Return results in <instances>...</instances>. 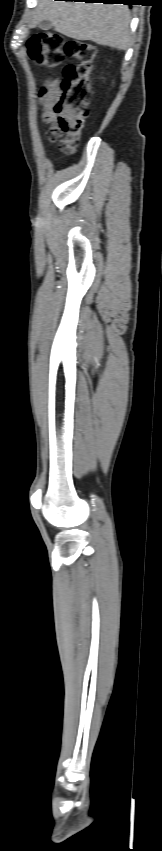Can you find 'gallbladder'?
<instances>
[{
	"label": "gallbladder",
	"mask_w": 162,
	"mask_h": 851,
	"mask_svg": "<svg viewBox=\"0 0 162 851\" xmlns=\"http://www.w3.org/2000/svg\"><path fill=\"white\" fill-rule=\"evenodd\" d=\"M38 27L42 30H50L52 28V24L48 20H43L38 24Z\"/></svg>",
	"instance_id": "obj_1"
}]
</instances>
